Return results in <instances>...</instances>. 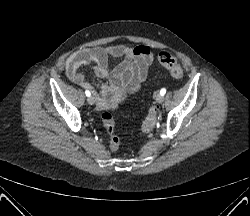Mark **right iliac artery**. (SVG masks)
<instances>
[{
    "instance_id": "1",
    "label": "right iliac artery",
    "mask_w": 250,
    "mask_h": 216,
    "mask_svg": "<svg viewBox=\"0 0 250 216\" xmlns=\"http://www.w3.org/2000/svg\"><path fill=\"white\" fill-rule=\"evenodd\" d=\"M85 94H86V96H88V97L91 95V93H90L89 90H86V91H85Z\"/></svg>"
}]
</instances>
